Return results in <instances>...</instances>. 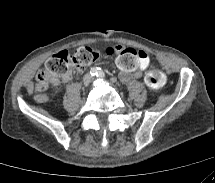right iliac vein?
Listing matches in <instances>:
<instances>
[{
    "instance_id": "right-iliac-vein-1",
    "label": "right iliac vein",
    "mask_w": 215,
    "mask_h": 183,
    "mask_svg": "<svg viewBox=\"0 0 215 183\" xmlns=\"http://www.w3.org/2000/svg\"><path fill=\"white\" fill-rule=\"evenodd\" d=\"M89 84H90V78H89V77L84 78V80H83V85H84L85 87H87Z\"/></svg>"
}]
</instances>
